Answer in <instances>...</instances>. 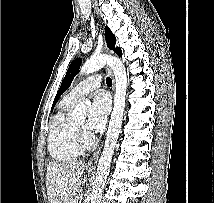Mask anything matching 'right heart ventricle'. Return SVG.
Masks as SVG:
<instances>
[{
  "label": "right heart ventricle",
  "mask_w": 214,
  "mask_h": 203,
  "mask_svg": "<svg viewBox=\"0 0 214 203\" xmlns=\"http://www.w3.org/2000/svg\"><path fill=\"white\" fill-rule=\"evenodd\" d=\"M75 102L65 96L49 126L48 150L51 157L58 162L70 161L81 153L75 142L76 124L68 117Z\"/></svg>",
  "instance_id": "e07e8e85"
}]
</instances>
